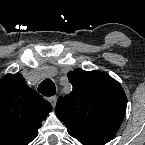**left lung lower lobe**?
I'll return each instance as SVG.
<instances>
[{
	"mask_svg": "<svg viewBox=\"0 0 145 145\" xmlns=\"http://www.w3.org/2000/svg\"><path fill=\"white\" fill-rule=\"evenodd\" d=\"M67 131L84 145H103L115 136L117 129L70 126Z\"/></svg>",
	"mask_w": 145,
	"mask_h": 145,
	"instance_id": "1",
	"label": "left lung lower lobe"
}]
</instances>
